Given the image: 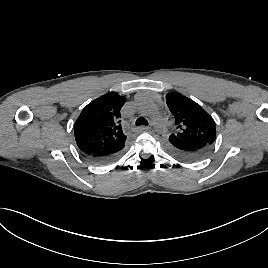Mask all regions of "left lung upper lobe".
Listing matches in <instances>:
<instances>
[{
    "label": "left lung upper lobe",
    "instance_id": "5c2ea615",
    "mask_svg": "<svg viewBox=\"0 0 268 268\" xmlns=\"http://www.w3.org/2000/svg\"><path fill=\"white\" fill-rule=\"evenodd\" d=\"M166 102L177 129L169 139L204 140L213 145L216 139L215 122L199 104L178 94H167Z\"/></svg>",
    "mask_w": 268,
    "mask_h": 268
}]
</instances>
